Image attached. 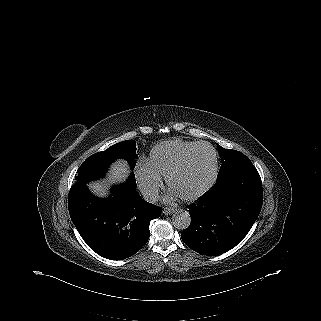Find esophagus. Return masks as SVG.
I'll return each instance as SVG.
<instances>
[{
    "label": "esophagus",
    "instance_id": "1",
    "mask_svg": "<svg viewBox=\"0 0 321 321\" xmlns=\"http://www.w3.org/2000/svg\"><path fill=\"white\" fill-rule=\"evenodd\" d=\"M175 212V209L174 208H164V210H163V213L165 214V215H171V214H173Z\"/></svg>",
    "mask_w": 321,
    "mask_h": 321
}]
</instances>
